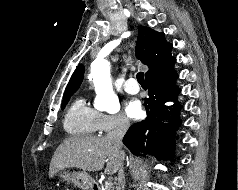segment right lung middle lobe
<instances>
[{
    "instance_id": "dd1d6c3e",
    "label": "right lung middle lobe",
    "mask_w": 238,
    "mask_h": 190,
    "mask_svg": "<svg viewBox=\"0 0 238 190\" xmlns=\"http://www.w3.org/2000/svg\"><path fill=\"white\" fill-rule=\"evenodd\" d=\"M72 95H73V93L64 95L63 102H62V109L65 108V106L67 105V103Z\"/></svg>"
}]
</instances>
